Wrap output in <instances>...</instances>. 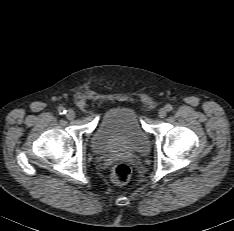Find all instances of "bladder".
Wrapping results in <instances>:
<instances>
[{
    "label": "bladder",
    "instance_id": "1",
    "mask_svg": "<svg viewBox=\"0 0 234 231\" xmlns=\"http://www.w3.org/2000/svg\"><path fill=\"white\" fill-rule=\"evenodd\" d=\"M92 149L97 154L125 152L146 155L150 137L143 129L136 110L128 105L110 109L92 135Z\"/></svg>",
    "mask_w": 234,
    "mask_h": 231
}]
</instances>
